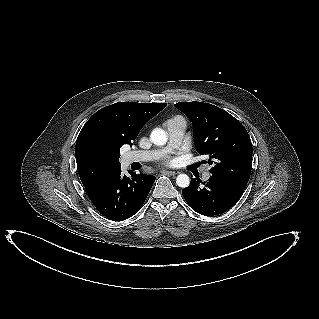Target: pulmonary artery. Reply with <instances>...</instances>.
I'll return each mask as SVG.
<instances>
[{"mask_svg":"<svg viewBox=\"0 0 319 319\" xmlns=\"http://www.w3.org/2000/svg\"><path fill=\"white\" fill-rule=\"evenodd\" d=\"M168 131V143L167 145L159 150L151 151H131L125 154L124 159L127 163L132 162H145L154 159H158L170 152L175 148L179 147L186 131V124L182 119H171L166 123ZM211 174L208 170L203 173V179L208 180Z\"/></svg>","mask_w":319,"mask_h":319,"instance_id":"e3ab8cb5","label":"pulmonary artery"}]
</instances>
